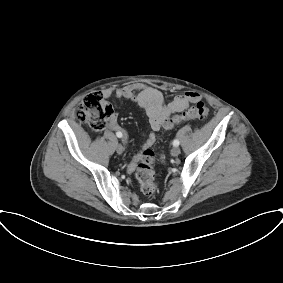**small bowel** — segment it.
Instances as JSON below:
<instances>
[{
    "label": "small bowel",
    "mask_w": 283,
    "mask_h": 283,
    "mask_svg": "<svg viewBox=\"0 0 283 283\" xmlns=\"http://www.w3.org/2000/svg\"><path fill=\"white\" fill-rule=\"evenodd\" d=\"M104 97H116L118 99H127L136 102L142 109H144L150 127L153 131L161 128L164 121L175 112H181L190 104L201 100V96L194 91L185 92L176 95L170 102H166L162 92L151 86L142 84L129 85L118 89H106L103 92ZM107 127L111 131H123L118 124V117L113 113ZM155 141L154 133H150L142 145V150L149 148ZM140 154L136 155L132 162L127 166V171L132 173L136 169V164L139 161Z\"/></svg>",
    "instance_id": "obj_1"
}]
</instances>
